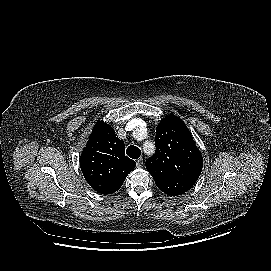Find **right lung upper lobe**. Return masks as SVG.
<instances>
[{"mask_svg": "<svg viewBox=\"0 0 271 271\" xmlns=\"http://www.w3.org/2000/svg\"><path fill=\"white\" fill-rule=\"evenodd\" d=\"M136 162L125 156V145L112 127L97 122L80 157L86 181L101 193H113L123 184Z\"/></svg>", "mask_w": 271, "mask_h": 271, "instance_id": "right-lung-upper-lobe-1", "label": "right lung upper lobe"}]
</instances>
